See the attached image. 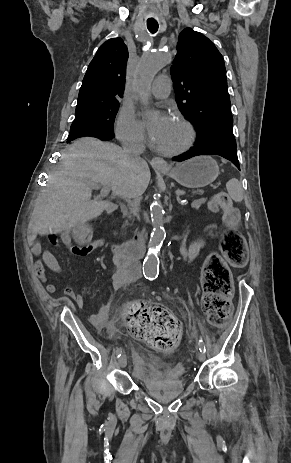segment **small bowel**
Instances as JSON below:
<instances>
[{"instance_id":"c3829d8e","label":"small bowel","mask_w":291,"mask_h":463,"mask_svg":"<svg viewBox=\"0 0 291 463\" xmlns=\"http://www.w3.org/2000/svg\"><path fill=\"white\" fill-rule=\"evenodd\" d=\"M57 239V238H56ZM61 242L67 246L75 255L86 256L93 252L97 248H102L106 245L105 240L97 239L83 246H75L72 242V238L68 234H62ZM57 243V240L54 244ZM203 248L201 241L193 242L191 245H183L181 248L182 256L185 260H193ZM32 251L35 256L40 257L35 262V271L38 279L46 283L47 274L44 266L56 274H61V267L56 257L47 249H43L39 242H33ZM114 263L116 272L112 276V287L113 292H117L124 287L128 286L132 282L138 280L141 277L140 264L131 256L124 254H114ZM46 290L49 293L56 292V286L54 284H47ZM65 292L68 297L73 299L80 309L85 310L87 307V300L85 291L76 294L71 285H67ZM110 303L104 305L97 314L89 315L88 321L95 327H103L109 320L110 317Z\"/></svg>"}]
</instances>
